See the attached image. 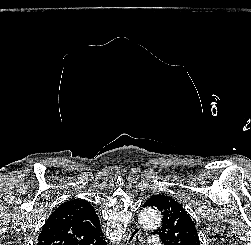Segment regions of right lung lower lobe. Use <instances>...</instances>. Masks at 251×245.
<instances>
[{"label": "right lung lower lobe", "mask_w": 251, "mask_h": 245, "mask_svg": "<svg viewBox=\"0 0 251 245\" xmlns=\"http://www.w3.org/2000/svg\"><path fill=\"white\" fill-rule=\"evenodd\" d=\"M84 245H106L105 239L103 238V234L99 238H97L95 241L91 243H86Z\"/></svg>", "instance_id": "right-lung-lower-lobe-1"}]
</instances>
